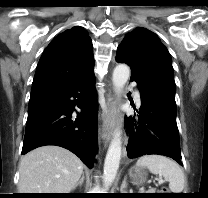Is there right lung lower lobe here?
<instances>
[{
	"mask_svg": "<svg viewBox=\"0 0 208 198\" xmlns=\"http://www.w3.org/2000/svg\"><path fill=\"white\" fill-rule=\"evenodd\" d=\"M94 72L63 91L30 99L22 154L45 145L69 149L89 168L97 152L98 107ZM81 109L77 117L72 113Z\"/></svg>",
	"mask_w": 208,
	"mask_h": 198,
	"instance_id": "right-lung-lower-lobe-1",
	"label": "right lung lower lobe"
}]
</instances>
